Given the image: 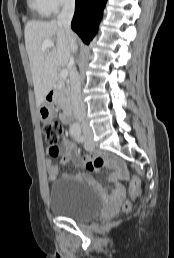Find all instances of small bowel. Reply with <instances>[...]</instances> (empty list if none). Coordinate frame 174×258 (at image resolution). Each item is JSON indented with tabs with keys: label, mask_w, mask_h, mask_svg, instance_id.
Returning a JSON list of instances; mask_svg holds the SVG:
<instances>
[{
	"label": "small bowel",
	"mask_w": 174,
	"mask_h": 258,
	"mask_svg": "<svg viewBox=\"0 0 174 258\" xmlns=\"http://www.w3.org/2000/svg\"><path fill=\"white\" fill-rule=\"evenodd\" d=\"M50 150L51 149L49 148L48 153L51 155ZM57 151V155H61V164H66L68 161L73 160L76 165L82 166L88 171L95 172H99L100 168L104 164H107L113 167L116 176L119 178L124 179L127 177V170L118 158L100 156L96 152H92L90 155L81 158L77 155L75 145L67 138H64L62 143L57 146ZM46 167L49 179L54 182L58 176L59 165L47 160ZM119 191L120 187L118 186L116 188V193Z\"/></svg>",
	"instance_id": "1"
}]
</instances>
